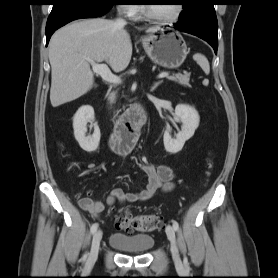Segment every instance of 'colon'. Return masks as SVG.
<instances>
[{
    "label": "colon",
    "mask_w": 278,
    "mask_h": 278,
    "mask_svg": "<svg viewBox=\"0 0 278 278\" xmlns=\"http://www.w3.org/2000/svg\"><path fill=\"white\" fill-rule=\"evenodd\" d=\"M163 221L157 214L134 215L123 211L116 216V226L126 231L148 232L161 227Z\"/></svg>",
    "instance_id": "5ec220e1"
}]
</instances>
